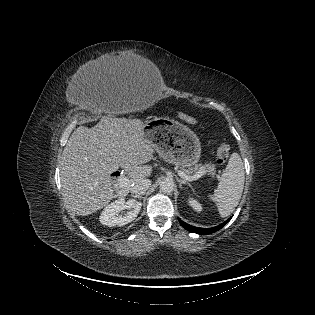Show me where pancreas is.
I'll return each instance as SVG.
<instances>
[{
	"label": "pancreas",
	"instance_id": "obj_1",
	"mask_svg": "<svg viewBox=\"0 0 315 315\" xmlns=\"http://www.w3.org/2000/svg\"><path fill=\"white\" fill-rule=\"evenodd\" d=\"M183 172L185 174H192V173H195V172H198L200 170H203L205 173H209L211 174L212 176L215 175V165L214 164H210V163H207V164H204V165H197L195 166L194 168H188V169H185V168H182L180 167Z\"/></svg>",
	"mask_w": 315,
	"mask_h": 315
}]
</instances>
